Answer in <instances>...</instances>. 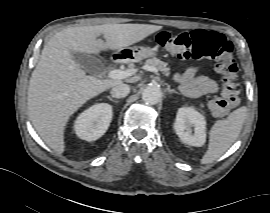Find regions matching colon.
Segmentation results:
<instances>
[{
    "mask_svg": "<svg viewBox=\"0 0 270 213\" xmlns=\"http://www.w3.org/2000/svg\"><path fill=\"white\" fill-rule=\"evenodd\" d=\"M156 44L181 59H214L216 70L223 76L222 95L214 98L210 108L215 116H221L239 103L240 85L235 81L237 64L233 46L216 31L195 30L171 34L160 32Z\"/></svg>",
    "mask_w": 270,
    "mask_h": 213,
    "instance_id": "colon-1",
    "label": "colon"
}]
</instances>
